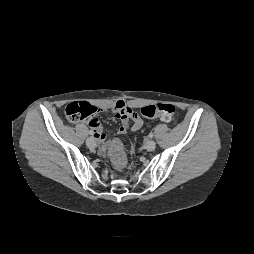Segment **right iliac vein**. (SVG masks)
<instances>
[{
	"label": "right iliac vein",
	"mask_w": 254,
	"mask_h": 254,
	"mask_svg": "<svg viewBox=\"0 0 254 254\" xmlns=\"http://www.w3.org/2000/svg\"><path fill=\"white\" fill-rule=\"evenodd\" d=\"M86 144L90 148L94 147L96 145L95 139L93 137L87 138Z\"/></svg>",
	"instance_id": "right-iliac-vein-1"
}]
</instances>
